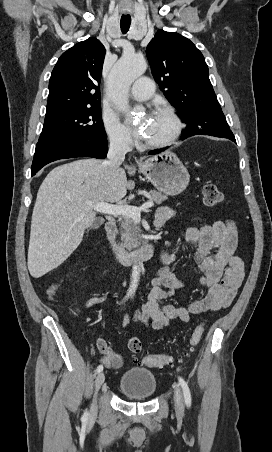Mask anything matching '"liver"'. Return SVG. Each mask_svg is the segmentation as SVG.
Here are the masks:
<instances>
[{"instance_id": "1", "label": "liver", "mask_w": 272, "mask_h": 452, "mask_svg": "<svg viewBox=\"0 0 272 452\" xmlns=\"http://www.w3.org/2000/svg\"><path fill=\"white\" fill-rule=\"evenodd\" d=\"M89 158L57 166L42 182L33 209L28 269L40 278L60 266L80 245L96 218L97 203H118L127 193L124 169L111 173Z\"/></svg>"}]
</instances>
